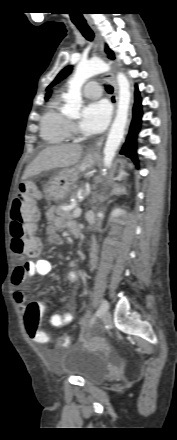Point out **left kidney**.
Here are the masks:
<instances>
[{
  "mask_svg": "<svg viewBox=\"0 0 177 440\" xmlns=\"http://www.w3.org/2000/svg\"><path fill=\"white\" fill-rule=\"evenodd\" d=\"M123 211H121V210H114L112 213H111V216L113 217V216H116V215H118V214H120V213H122Z\"/></svg>",
  "mask_w": 177,
  "mask_h": 440,
  "instance_id": "1",
  "label": "left kidney"
}]
</instances>
